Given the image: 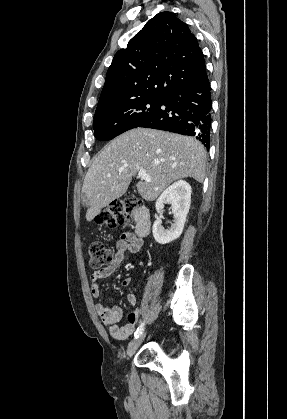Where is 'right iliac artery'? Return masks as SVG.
I'll return each mask as SVG.
<instances>
[{"mask_svg":"<svg viewBox=\"0 0 287 419\" xmlns=\"http://www.w3.org/2000/svg\"><path fill=\"white\" fill-rule=\"evenodd\" d=\"M144 325H145L144 323H141L140 326L137 328V330H136V332L134 334V337L135 338H138L139 335H141L143 333V331H144Z\"/></svg>","mask_w":287,"mask_h":419,"instance_id":"1","label":"right iliac artery"}]
</instances>
